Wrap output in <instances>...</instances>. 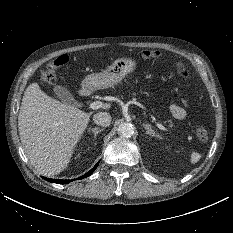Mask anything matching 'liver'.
<instances>
[{
  "label": "liver",
  "mask_w": 233,
  "mask_h": 233,
  "mask_svg": "<svg viewBox=\"0 0 233 233\" xmlns=\"http://www.w3.org/2000/svg\"><path fill=\"white\" fill-rule=\"evenodd\" d=\"M90 117L91 113L48 96L37 83L26 88L18 129L25 153L39 173L53 176L68 166Z\"/></svg>",
  "instance_id": "6515ba94"
}]
</instances>
